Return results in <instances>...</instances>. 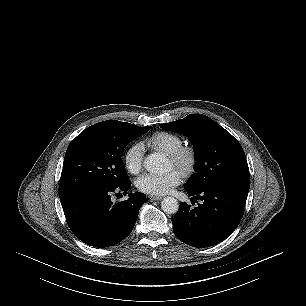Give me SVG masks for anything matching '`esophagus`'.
Listing matches in <instances>:
<instances>
[{
  "label": "esophagus",
  "instance_id": "34e87169",
  "mask_svg": "<svg viewBox=\"0 0 306 306\" xmlns=\"http://www.w3.org/2000/svg\"><path fill=\"white\" fill-rule=\"evenodd\" d=\"M151 201H158L162 199V196H157V195H149L148 197Z\"/></svg>",
  "mask_w": 306,
  "mask_h": 306
}]
</instances>
